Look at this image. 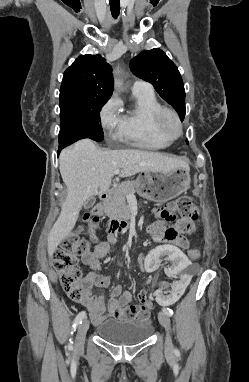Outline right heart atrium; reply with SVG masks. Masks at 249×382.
<instances>
[{"label": "right heart atrium", "instance_id": "1", "mask_svg": "<svg viewBox=\"0 0 249 382\" xmlns=\"http://www.w3.org/2000/svg\"><path fill=\"white\" fill-rule=\"evenodd\" d=\"M100 123L104 131L112 134L120 128L122 116L120 103L117 98H110L100 111Z\"/></svg>", "mask_w": 249, "mask_h": 382}]
</instances>
